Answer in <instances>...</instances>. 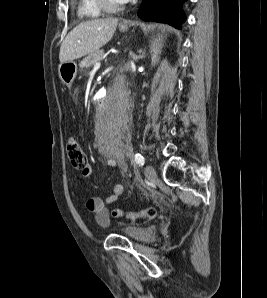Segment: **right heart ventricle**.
<instances>
[{"instance_id": "1", "label": "right heart ventricle", "mask_w": 267, "mask_h": 298, "mask_svg": "<svg viewBox=\"0 0 267 298\" xmlns=\"http://www.w3.org/2000/svg\"><path fill=\"white\" fill-rule=\"evenodd\" d=\"M77 14L83 19H97L103 15L96 0H79Z\"/></svg>"}]
</instances>
